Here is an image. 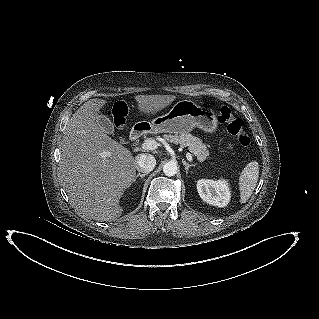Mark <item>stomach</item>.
Returning <instances> with one entry per match:
<instances>
[{
  "label": "stomach",
  "instance_id": "obj_1",
  "mask_svg": "<svg viewBox=\"0 0 319 319\" xmlns=\"http://www.w3.org/2000/svg\"><path fill=\"white\" fill-rule=\"evenodd\" d=\"M155 133L186 134L195 127L213 133L217 129L216 114L212 109L197 105L191 100H180L168 113L148 123Z\"/></svg>",
  "mask_w": 319,
  "mask_h": 319
}]
</instances>
